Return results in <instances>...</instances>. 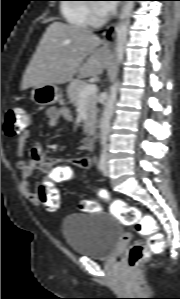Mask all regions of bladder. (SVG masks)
<instances>
[{
    "label": "bladder",
    "instance_id": "bladder-1",
    "mask_svg": "<svg viewBox=\"0 0 180 299\" xmlns=\"http://www.w3.org/2000/svg\"><path fill=\"white\" fill-rule=\"evenodd\" d=\"M61 232L77 255L106 260L117 249L122 230L110 212L75 213L61 222Z\"/></svg>",
    "mask_w": 180,
    "mask_h": 299
}]
</instances>
